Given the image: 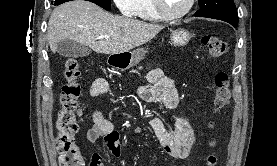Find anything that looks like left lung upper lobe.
<instances>
[{
	"label": "left lung upper lobe",
	"instance_id": "left-lung-upper-lobe-1",
	"mask_svg": "<svg viewBox=\"0 0 277 166\" xmlns=\"http://www.w3.org/2000/svg\"><path fill=\"white\" fill-rule=\"evenodd\" d=\"M200 9L195 16L219 19L228 23H238V15L233 0H198Z\"/></svg>",
	"mask_w": 277,
	"mask_h": 166
}]
</instances>
